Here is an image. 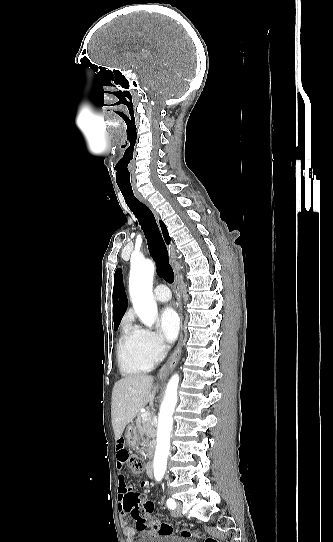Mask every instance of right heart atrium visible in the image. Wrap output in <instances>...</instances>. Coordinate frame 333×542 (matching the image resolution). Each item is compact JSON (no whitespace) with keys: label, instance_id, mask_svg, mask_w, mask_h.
Listing matches in <instances>:
<instances>
[{"label":"right heart atrium","instance_id":"obj_1","mask_svg":"<svg viewBox=\"0 0 333 542\" xmlns=\"http://www.w3.org/2000/svg\"><path fill=\"white\" fill-rule=\"evenodd\" d=\"M135 335L149 352L153 353L156 356L165 355L167 347L162 338L157 333L148 329L137 327Z\"/></svg>","mask_w":333,"mask_h":542}]
</instances>
